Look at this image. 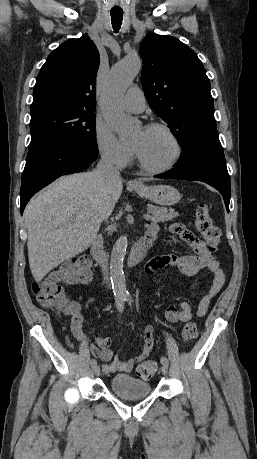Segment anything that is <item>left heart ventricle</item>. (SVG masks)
I'll return each mask as SVG.
<instances>
[{"mask_svg": "<svg viewBox=\"0 0 257 459\" xmlns=\"http://www.w3.org/2000/svg\"><path fill=\"white\" fill-rule=\"evenodd\" d=\"M133 145L143 160L154 167L167 164L175 154L171 138L160 129H140L134 136Z\"/></svg>", "mask_w": 257, "mask_h": 459, "instance_id": "b2bd125f", "label": "left heart ventricle"}]
</instances>
